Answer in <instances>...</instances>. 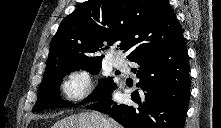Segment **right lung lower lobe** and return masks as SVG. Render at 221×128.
I'll list each match as a JSON object with an SVG mask.
<instances>
[{"label":"right lung lower lobe","mask_w":221,"mask_h":128,"mask_svg":"<svg viewBox=\"0 0 221 128\" xmlns=\"http://www.w3.org/2000/svg\"><path fill=\"white\" fill-rule=\"evenodd\" d=\"M130 61L140 65L133 72L141 78V96L135 91L132 104L117 105L109 92L88 108L109 115L125 128H183L191 86L185 40Z\"/></svg>","instance_id":"right-lung-lower-lobe-1"}]
</instances>
